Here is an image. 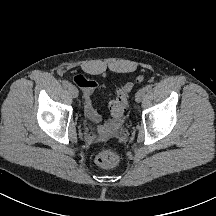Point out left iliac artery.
I'll list each match as a JSON object with an SVG mask.
<instances>
[{
  "label": "left iliac artery",
  "instance_id": "1",
  "mask_svg": "<svg viewBox=\"0 0 216 216\" xmlns=\"http://www.w3.org/2000/svg\"><path fill=\"white\" fill-rule=\"evenodd\" d=\"M145 90H146V91H151V90H152V86H151V85H147V86L145 87Z\"/></svg>",
  "mask_w": 216,
  "mask_h": 216
}]
</instances>
